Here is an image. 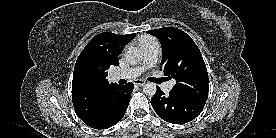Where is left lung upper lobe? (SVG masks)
<instances>
[{
	"label": "left lung upper lobe",
	"instance_id": "5c2ea615",
	"mask_svg": "<svg viewBox=\"0 0 276 138\" xmlns=\"http://www.w3.org/2000/svg\"><path fill=\"white\" fill-rule=\"evenodd\" d=\"M147 33L156 36L162 45L161 66L164 74L176 80L171 92L206 103L208 73L201 52L191 37L180 29L171 27Z\"/></svg>",
	"mask_w": 276,
	"mask_h": 138
}]
</instances>
